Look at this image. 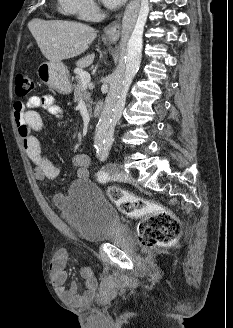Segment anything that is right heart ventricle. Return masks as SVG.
<instances>
[{
  "label": "right heart ventricle",
  "instance_id": "e07e8e85",
  "mask_svg": "<svg viewBox=\"0 0 233 328\" xmlns=\"http://www.w3.org/2000/svg\"><path fill=\"white\" fill-rule=\"evenodd\" d=\"M60 9L67 14H72V4L70 0H58Z\"/></svg>",
  "mask_w": 233,
  "mask_h": 328
}]
</instances>
